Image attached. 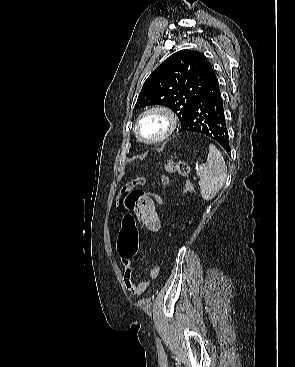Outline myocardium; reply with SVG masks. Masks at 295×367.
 Instances as JSON below:
<instances>
[{"instance_id":"myocardium-1","label":"myocardium","mask_w":295,"mask_h":367,"mask_svg":"<svg viewBox=\"0 0 295 367\" xmlns=\"http://www.w3.org/2000/svg\"><path fill=\"white\" fill-rule=\"evenodd\" d=\"M151 115L162 116L166 121V129L158 137L154 139H146L140 133V124L145 118ZM176 128H177V117L174 114V112L165 106L157 105V106L149 107L145 109L142 113H140V115L138 116L135 122L134 130H135L136 137L141 142L148 144V145H155V144L162 143L166 141L168 138H170L173 135V133L175 132Z\"/></svg>"}]
</instances>
